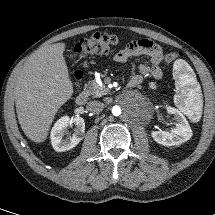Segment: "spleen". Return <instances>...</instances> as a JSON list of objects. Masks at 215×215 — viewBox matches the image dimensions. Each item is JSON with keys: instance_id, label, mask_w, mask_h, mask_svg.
Returning a JSON list of instances; mask_svg holds the SVG:
<instances>
[{"instance_id": "3e777b00", "label": "spleen", "mask_w": 215, "mask_h": 215, "mask_svg": "<svg viewBox=\"0 0 215 215\" xmlns=\"http://www.w3.org/2000/svg\"><path fill=\"white\" fill-rule=\"evenodd\" d=\"M173 69L176 80L175 104L185 114L199 111L202 107V96L197 80L188 73L189 69L183 60H176Z\"/></svg>"}]
</instances>
